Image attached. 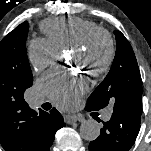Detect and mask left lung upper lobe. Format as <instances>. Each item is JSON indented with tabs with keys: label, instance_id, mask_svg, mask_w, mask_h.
Masks as SVG:
<instances>
[{
	"label": "left lung upper lobe",
	"instance_id": "1",
	"mask_svg": "<svg viewBox=\"0 0 151 151\" xmlns=\"http://www.w3.org/2000/svg\"><path fill=\"white\" fill-rule=\"evenodd\" d=\"M114 34L117 45L114 61L106 78L88 98L87 106L99 110L110 104L115 115L140 117L143 91L137 60L125 36L118 30Z\"/></svg>",
	"mask_w": 151,
	"mask_h": 151
}]
</instances>
